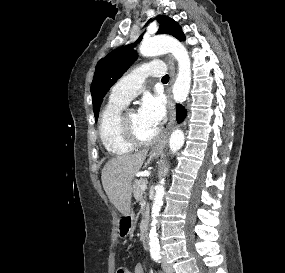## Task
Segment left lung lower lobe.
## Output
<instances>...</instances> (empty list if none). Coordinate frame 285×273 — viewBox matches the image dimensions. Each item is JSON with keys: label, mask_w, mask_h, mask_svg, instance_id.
Returning a JSON list of instances; mask_svg holds the SVG:
<instances>
[{"label": "left lung lower lobe", "mask_w": 285, "mask_h": 273, "mask_svg": "<svg viewBox=\"0 0 285 273\" xmlns=\"http://www.w3.org/2000/svg\"><path fill=\"white\" fill-rule=\"evenodd\" d=\"M176 110H177V120L178 121L183 120V118L186 115V110L180 104L176 105Z\"/></svg>", "instance_id": "1"}]
</instances>
